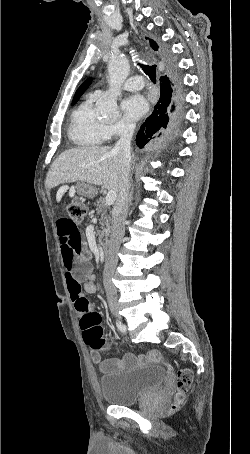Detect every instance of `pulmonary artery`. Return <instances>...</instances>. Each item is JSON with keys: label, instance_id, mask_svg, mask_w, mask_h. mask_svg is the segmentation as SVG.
I'll use <instances>...</instances> for the list:
<instances>
[{"label": "pulmonary artery", "instance_id": "e3ab8cb5", "mask_svg": "<svg viewBox=\"0 0 250 454\" xmlns=\"http://www.w3.org/2000/svg\"><path fill=\"white\" fill-rule=\"evenodd\" d=\"M144 87V81L141 76H132L128 78L122 85V89L127 91H137ZM106 89H98L94 91L91 96L94 98H99L105 93Z\"/></svg>", "mask_w": 250, "mask_h": 454}]
</instances>
